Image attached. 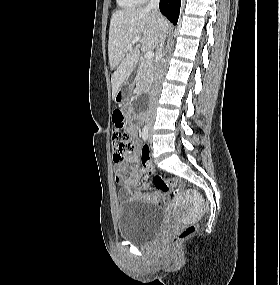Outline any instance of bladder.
I'll return each mask as SVG.
<instances>
[{"instance_id": "bladder-1", "label": "bladder", "mask_w": 280, "mask_h": 285, "mask_svg": "<svg viewBox=\"0 0 280 285\" xmlns=\"http://www.w3.org/2000/svg\"><path fill=\"white\" fill-rule=\"evenodd\" d=\"M163 223L161 210L147 201L131 199L118 206V234L135 244L149 243L159 234Z\"/></svg>"}]
</instances>
